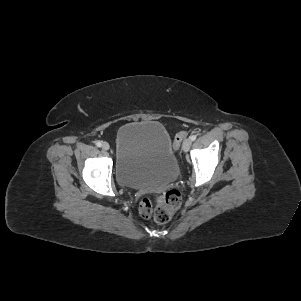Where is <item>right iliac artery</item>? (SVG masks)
Listing matches in <instances>:
<instances>
[{"instance_id": "obj_1", "label": "right iliac artery", "mask_w": 301, "mask_h": 301, "mask_svg": "<svg viewBox=\"0 0 301 301\" xmlns=\"http://www.w3.org/2000/svg\"><path fill=\"white\" fill-rule=\"evenodd\" d=\"M96 146H97V147H101V146H102V143H101L100 141H97V142H96Z\"/></svg>"}]
</instances>
